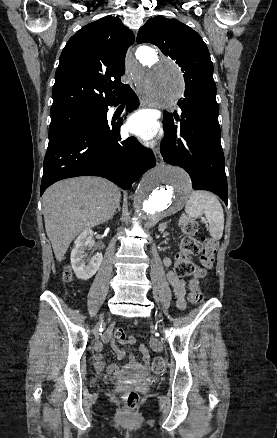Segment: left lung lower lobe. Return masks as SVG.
<instances>
[{
  "label": "left lung lower lobe",
  "instance_id": "left-lung-lower-lobe-1",
  "mask_svg": "<svg viewBox=\"0 0 277 438\" xmlns=\"http://www.w3.org/2000/svg\"><path fill=\"white\" fill-rule=\"evenodd\" d=\"M178 105L182 110L181 119L178 115L164 116L163 159L184 168L190 174L193 189L211 191L227 204L216 95L181 100Z\"/></svg>",
  "mask_w": 277,
  "mask_h": 438
}]
</instances>
